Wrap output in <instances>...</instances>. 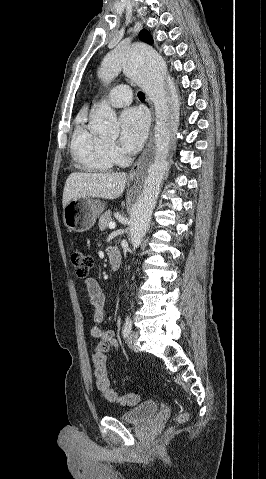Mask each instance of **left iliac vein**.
Listing matches in <instances>:
<instances>
[{"label": "left iliac vein", "instance_id": "1", "mask_svg": "<svg viewBox=\"0 0 266 479\" xmlns=\"http://www.w3.org/2000/svg\"><path fill=\"white\" fill-rule=\"evenodd\" d=\"M137 338H138V333L136 331H131L128 334L126 343L131 350L135 351L137 349V345H136Z\"/></svg>", "mask_w": 266, "mask_h": 479}]
</instances>
